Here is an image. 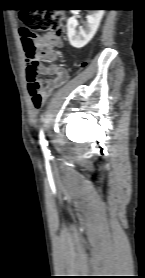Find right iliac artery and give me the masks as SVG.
I'll return each mask as SVG.
<instances>
[{
  "label": "right iliac artery",
  "mask_w": 145,
  "mask_h": 278,
  "mask_svg": "<svg viewBox=\"0 0 145 278\" xmlns=\"http://www.w3.org/2000/svg\"><path fill=\"white\" fill-rule=\"evenodd\" d=\"M39 143L43 152L47 155L49 153V150L47 149V141L45 140L44 133L42 130H40L39 133Z\"/></svg>",
  "instance_id": "1"
}]
</instances>
